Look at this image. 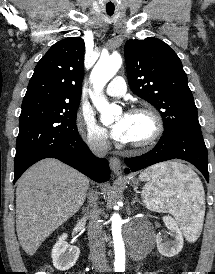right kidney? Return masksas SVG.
Here are the masks:
<instances>
[{"label": "right kidney", "instance_id": "right-kidney-1", "mask_svg": "<svg viewBox=\"0 0 215 274\" xmlns=\"http://www.w3.org/2000/svg\"><path fill=\"white\" fill-rule=\"evenodd\" d=\"M67 234L59 237L52 249L53 265L57 270L66 271L73 267L80 255V249L77 246L69 245L65 240Z\"/></svg>", "mask_w": 215, "mask_h": 274}]
</instances>
